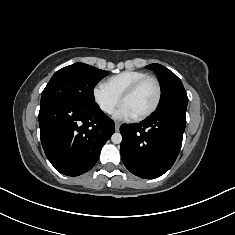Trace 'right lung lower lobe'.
Listing matches in <instances>:
<instances>
[{
	"mask_svg": "<svg viewBox=\"0 0 235 235\" xmlns=\"http://www.w3.org/2000/svg\"><path fill=\"white\" fill-rule=\"evenodd\" d=\"M39 126L48 160L67 176L89 171L115 132L114 122L97 104L83 106L64 101L41 104Z\"/></svg>",
	"mask_w": 235,
	"mask_h": 235,
	"instance_id": "98d812e1",
	"label": "right lung lower lobe"
}]
</instances>
